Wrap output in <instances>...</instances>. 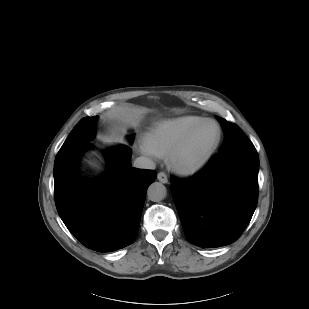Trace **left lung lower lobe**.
<instances>
[{
  "mask_svg": "<svg viewBox=\"0 0 309 309\" xmlns=\"http://www.w3.org/2000/svg\"><path fill=\"white\" fill-rule=\"evenodd\" d=\"M259 158L253 145L219 153L196 176L172 177V193L187 240L200 247L233 243L258 200Z\"/></svg>",
  "mask_w": 309,
  "mask_h": 309,
  "instance_id": "0a47b994",
  "label": "left lung lower lobe"
}]
</instances>
